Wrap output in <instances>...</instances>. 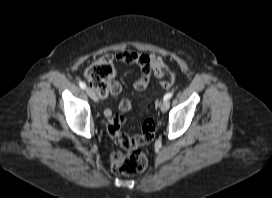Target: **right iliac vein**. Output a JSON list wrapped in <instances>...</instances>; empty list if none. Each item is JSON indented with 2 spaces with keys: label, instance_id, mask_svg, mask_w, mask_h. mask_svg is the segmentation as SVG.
I'll return each instance as SVG.
<instances>
[{
  "label": "right iliac vein",
  "instance_id": "obj_1",
  "mask_svg": "<svg viewBox=\"0 0 272 198\" xmlns=\"http://www.w3.org/2000/svg\"><path fill=\"white\" fill-rule=\"evenodd\" d=\"M86 92L91 99H93L94 101H98V98L93 90H91L90 88H87Z\"/></svg>",
  "mask_w": 272,
  "mask_h": 198
}]
</instances>
